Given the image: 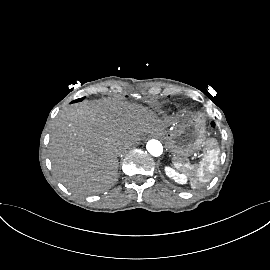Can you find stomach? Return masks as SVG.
Wrapping results in <instances>:
<instances>
[{"label":"stomach","mask_w":270,"mask_h":270,"mask_svg":"<svg viewBox=\"0 0 270 270\" xmlns=\"http://www.w3.org/2000/svg\"><path fill=\"white\" fill-rule=\"evenodd\" d=\"M168 149L173 154L175 163H185L188 156L197 152L205 140V122L198 115L186 116L163 134Z\"/></svg>","instance_id":"0dacf381"}]
</instances>
